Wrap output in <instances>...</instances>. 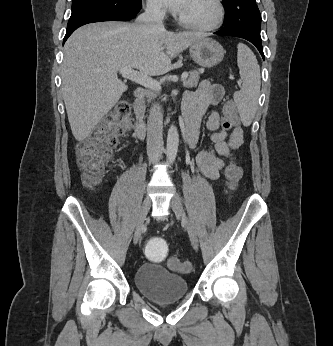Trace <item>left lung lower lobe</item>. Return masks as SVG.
Segmentation results:
<instances>
[{
  "mask_svg": "<svg viewBox=\"0 0 333 346\" xmlns=\"http://www.w3.org/2000/svg\"><path fill=\"white\" fill-rule=\"evenodd\" d=\"M215 34L240 37V38H243V39L250 41L259 50V52H260V54L264 60V53H263L261 38L253 36V35L247 33L246 31H243L241 29L232 28V27H224L221 30L215 32Z\"/></svg>",
  "mask_w": 333,
  "mask_h": 346,
  "instance_id": "1",
  "label": "left lung lower lobe"
}]
</instances>
